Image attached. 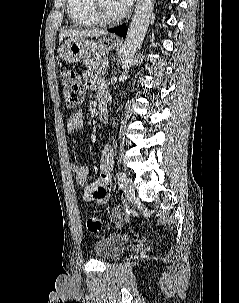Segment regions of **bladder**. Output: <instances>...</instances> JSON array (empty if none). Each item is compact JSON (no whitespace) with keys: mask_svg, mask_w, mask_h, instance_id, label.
Here are the masks:
<instances>
[{"mask_svg":"<svg viewBox=\"0 0 239 303\" xmlns=\"http://www.w3.org/2000/svg\"><path fill=\"white\" fill-rule=\"evenodd\" d=\"M127 244V236L111 235L96 240L93 245V252L101 260H112L125 250Z\"/></svg>","mask_w":239,"mask_h":303,"instance_id":"1","label":"bladder"}]
</instances>
